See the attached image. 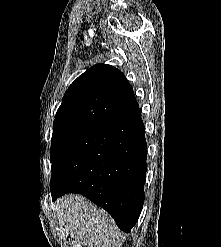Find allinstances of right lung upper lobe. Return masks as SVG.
Wrapping results in <instances>:
<instances>
[{"mask_svg":"<svg viewBox=\"0 0 221 247\" xmlns=\"http://www.w3.org/2000/svg\"><path fill=\"white\" fill-rule=\"evenodd\" d=\"M139 107L124 74L107 64H96L80 75L65 92L54 129L90 128Z\"/></svg>","mask_w":221,"mask_h":247,"instance_id":"cb5924a9","label":"right lung upper lobe"}]
</instances>
